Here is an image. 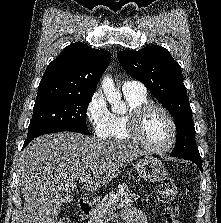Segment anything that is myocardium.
I'll list each match as a JSON object with an SVG mask.
<instances>
[{
  "instance_id": "myocardium-1",
  "label": "myocardium",
  "mask_w": 221,
  "mask_h": 223,
  "mask_svg": "<svg viewBox=\"0 0 221 223\" xmlns=\"http://www.w3.org/2000/svg\"><path fill=\"white\" fill-rule=\"evenodd\" d=\"M154 109L162 111L167 116L171 125V138L168 141V143L163 146H153L144 141L140 136L141 126L144 117L148 112ZM127 134L129 140H131L134 144H136L137 146L141 147L144 150L151 152H165L175 145L178 139V127L173 114L165 106L149 102L142 104L132 110L130 114L129 124L127 127Z\"/></svg>"
}]
</instances>
